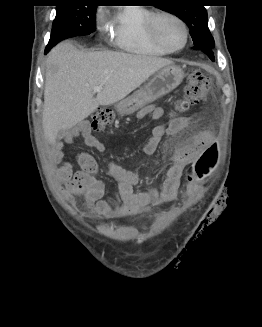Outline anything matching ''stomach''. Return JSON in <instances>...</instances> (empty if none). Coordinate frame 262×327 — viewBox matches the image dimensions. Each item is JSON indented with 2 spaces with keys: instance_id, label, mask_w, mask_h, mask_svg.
<instances>
[{
  "instance_id": "1",
  "label": "stomach",
  "mask_w": 262,
  "mask_h": 327,
  "mask_svg": "<svg viewBox=\"0 0 262 327\" xmlns=\"http://www.w3.org/2000/svg\"><path fill=\"white\" fill-rule=\"evenodd\" d=\"M184 73L176 65H168L155 73L152 79L131 96L121 100L115 105L117 112L131 115L140 108L146 106L174 90L183 80Z\"/></svg>"
}]
</instances>
